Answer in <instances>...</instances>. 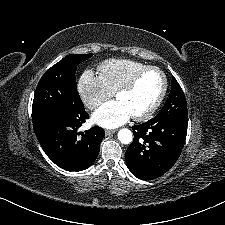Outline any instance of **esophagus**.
Instances as JSON below:
<instances>
[{"mask_svg": "<svg viewBox=\"0 0 225 225\" xmlns=\"http://www.w3.org/2000/svg\"><path fill=\"white\" fill-rule=\"evenodd\" d=\"M116 131H117L116 129L115 130H105V134H106V136H110V135L114 134Z\"/></svg>", "mask_w": 225, "mask_h": 225, "instance_id": "34e87169", "label": "esophagus"}]
</instances>
